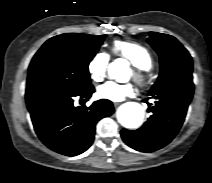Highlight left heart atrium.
I'll use <instances>...</instances> for the list:
<instances>
[{"label": "left heart atrium", "mask_w": 212, "mask_h": 183, "mask_svg": "<svg viewBox=\"0 0 212 183\" xmlns=\"http://www.w3.org/2000/svg\"><path fill=\"white\" fill-rule=\"evenodd\" d=\"M135 93V88L131 84H117L113 81H108L100 85L97 89V95L110 101H121L126 97L132 96Z\"/></svg>", "instance_id": "39dd6f15"}]
</instances>
